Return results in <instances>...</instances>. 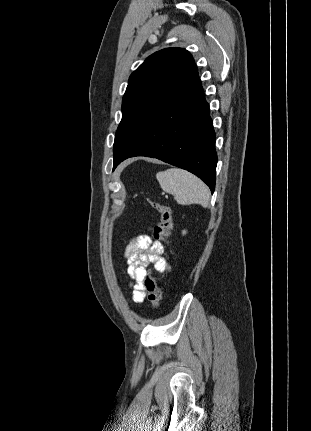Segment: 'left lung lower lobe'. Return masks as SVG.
Segmentation results:
<instances>
[{
  "instance_id": "1",
  "label": "left lung lower lobe",
  "mask_w": 311,
  "mask_h": 431,
  "mask_svg": "<svg viewBox=\"0 0 311 431\" xmlns=\"http://www.w3.org/2000/svg\"><path fill=\"white\" fill-rule=\"evenodd\" d=\"M134 156L157 158L188 170L214 192L215 133L198 73L164 104L132 145L114 157L113 169Z\"/></svg>"
}]
</instances>
